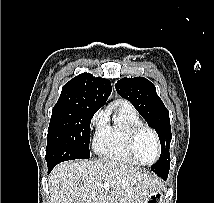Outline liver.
<instances>
[{"label": "liver", "mask_w": 214, "mask_h": 203, "mask_svg": "<svg viewBox=\"0 0 214 203\" xmlns=\"http://www.w3.org/2000/svg\"><path fill=\"white\" fill-rule=\"evenodd\" d=\"M108 182L111 190L103 184ZM49 203H144L161 189V180L111 160H74L57 165L49 176Z\"/></svg>", "instance_id": "6515ba94"}]
</instances>
